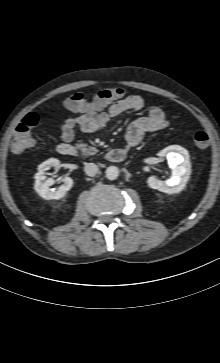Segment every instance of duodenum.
<instances>
[{
  "label": "duodenum",
  "instance_id": "obj_1",
  "mask_svg": "<svg viewBox=\"0 0 220 363\" xmlns=\"http://www.w3.org/2000/svg\"><path fill=\"white\" fill-rule=\"evenodd\" d=\"M57 151L60 155L66 157H78L80 155L79 149L71 144L61 143L57 147ZM107 160L110 163L122 162L127 156V150L121 149H111L107 152Z\"/></svg>",
  "mask_w": 220,
  "mask_h": 363
}]
</instances>
